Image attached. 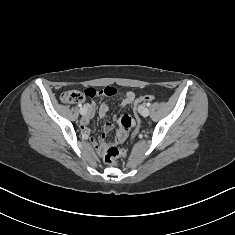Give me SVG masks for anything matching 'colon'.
Wrapping results in <instances>:
<instances>
[{"label":"colon","mask_w":235,"mask_h":235,"mask_svg":"<svg viewBox=\"0 0 235 235\" xmlns=\"http://www.w3.org/2000/svg\"><path fill=\"white\" fill-rule=\"evenodd\" d=\"M114 90L112 87H106L104 89L97 88H87L84 92L78 90H69L62 93L60 99L63 103L74 104L80 102L84 97L94 98L104 95H112ZM155 100L153 95H143L135 99L134 101V110L137 111L138 107L141 104H144L149 101ZM122 128L117 133H110L107 137L108 145L103 149L104 161L108 165H115L118 160L122 159L126 155V151L119 149L118 144L126 140L130 129L135 125L134 119L130 115H123L120 119ZM136 131L131 135V138H134Z\"/></svg>","instance_id":"obj_1"}]
</instances>
